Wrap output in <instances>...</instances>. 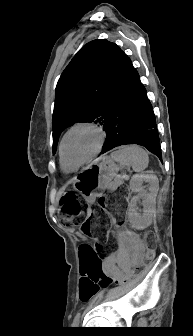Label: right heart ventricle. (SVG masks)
I'll list each match as a JSON object with an SVG mask.
<instances>
[{
	"label": "right heart ventricle",
	"mask_w": 193,
	"mask_h": 336,
	"mask_svg": "<svg viewBox=\"0 0 193 336\" xmlns=\"http://www.w3.org/2000/svg\"><path fill=\"white\" fill-rule=\"evenodd\" d=\"M60 163H61V168H62L63 172H65V173H71V172H74V171L77 170V169H73V168H70V167L66 166V165L62 162L61 159H60Z\"/></svg>",
	"instance_id": "e07e8e85"
}]
</instances>
